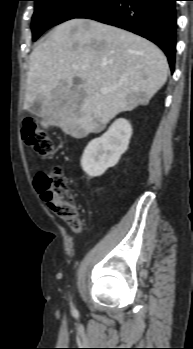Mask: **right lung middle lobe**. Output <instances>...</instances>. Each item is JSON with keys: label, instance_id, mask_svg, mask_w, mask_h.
<instances>
[{"label": "right lung middle lobe", "instance_id": "dd1d6c3e", "mask_svg": "<svg viewBox=\"0 0 193 349\" xmlns=\"http://www.w3.org/2000/svg\"><path fill=\"white\" fill-rule=\"evenodd\" d=\"M32 18L33 40L45 30L69 19L76 18L98 0H34Z\"/></svg>", "mask_w": 193, "mask_h": 349}]
</instances>
